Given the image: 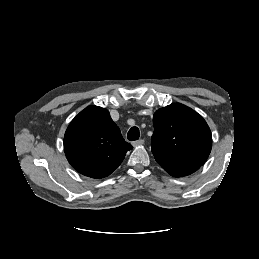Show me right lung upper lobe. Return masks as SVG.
Masks as SVG:
<instances>
[{"label":"right lung upper lobe","mask_w":259,"mask_h":259,"mask_svg":"<svg viewBox=\"0 0 259 259\" xmlns=\"http://www.w3.org/2000/svg\"><path fill=\"white\" fill-rule=\"evenodd\" d=\"M131 149L108 110L98 106H88L81 111L64 136V151L69 163L91 178L110 175Z\"/></svg>","instance_id":"1"}]
</instances>
